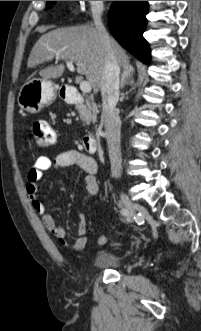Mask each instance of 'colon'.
<instances>
[{
	"label": "colon",
	"instance_id": "obj_1",
	"mask_svg": "<svg viewBox=\"0 0 201 331\" xmlns=\"http://www.w3.org/2000/svg\"><path fill=\"white\" fill-rule=\"evenodd\" d=\"M31 134L35 143L40 147H47L54 143L55 132L48 121L36 120L31 127Z\"/></svg>",
	"mask_w": 201,
	"mask_h": 331
}]
</instances>
